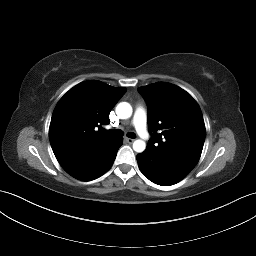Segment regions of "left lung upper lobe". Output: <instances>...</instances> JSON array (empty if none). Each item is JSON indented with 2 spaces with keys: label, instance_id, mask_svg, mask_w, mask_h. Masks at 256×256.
I'll use <instances>...</instances> for the list:
<instances>
[{
  "label": "left lung upper lobe",
  "instance_id": "obj_1",
  "mask_svg": "<svg viewBox=\"0 0 256 256\" xmlns=\"http://www.w3.org/2000/svg\"><path fill=\"white\" fill-rule=\"evenodd\" d=\"M138 91L148 104L152 138L145 153L169 170L187 175L197 164L206 130L201 109L183 89L158 82Z\"/></svg>",
  "mask_w": 256,
  "mask_h": 256
}]
</instances>
